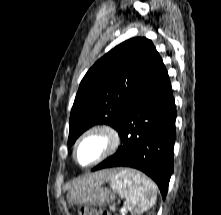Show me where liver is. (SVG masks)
Instances as JSON below:
<instances>
[{"label":"liver","instance_id":"6515ba94","mask_svg":"<svg viewBox=\"0 0 221 215\" xmlns=\"http://www.w3.org/2000/svg\"><path fill=\"white\" fill-rule=\"evenodd\" d=\"M115 174L116 172L114 170H102L82 178H77L68 183L66 188L73 190L102 185L103 183L108 182Z\"/></svg>","mask_w":221,"mask_h":215}]
</instances>
